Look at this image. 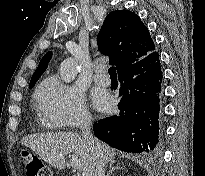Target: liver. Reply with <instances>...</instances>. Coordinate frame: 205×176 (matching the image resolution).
<instances>
[{"label":"liver","instance_id":"1","mask_svg":"<svg viewBox=\"0 0 205 176\" xmlns=\"http://www.w3.org/2000/svg\"><path fill=\"white\" fill-rule=\"evenodd\" d=\"M101 147L105 163L114 161L115 149L105 143L97 141ZM21 144L30 148L44 161L57 169L66 166V155L72 153L70 164L80 172L93 176L95 171L94 155L87 143L77 133L48 132L28 135L21 140Z\"/></svg>","mask_w":205,"mask_h":176}]
</instances>
